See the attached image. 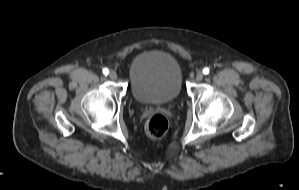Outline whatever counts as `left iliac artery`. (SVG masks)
<instances>
[{
  "mask_svg": "<svg viewBox=\"0 0 299 190\" xmlns=\"http://www.w3.org/2000/svg\"><path fill=\"white\" fill-rule=\"evenodd\" d=\"M203 73H204L205 75L209 74V68L205 67V68L203 69Z\"/></svg>",
  "mask_w": 299,
  "mask_h": 190,
  "instance_id": "obj_1",
  "label": "left iliac artery"
}]
</instances>
